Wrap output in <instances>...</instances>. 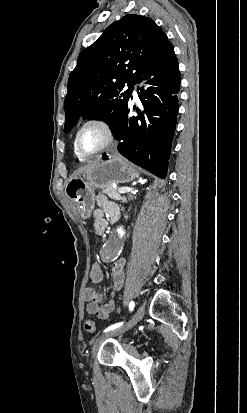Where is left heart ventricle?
<instances>
[{
    "label": "left heart ventricle",
    "mask_w": 247,
    "mask_h": 413,
    "mask_svg": "<svg viewBox=\"0 0 247 413\" xmlns=\"http://www.w3.org/2000/svg\"><path fill=\"white\" fill-rule=\"evenodd\" d=\"M106 138L107 133L105 129L89 127L82 131L79 142L84 151L93 152L103 145Z\"/></svg>",
    "instance_id": "obj_1"
}]
</instances>
